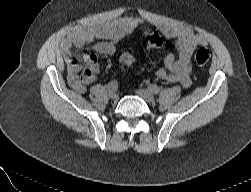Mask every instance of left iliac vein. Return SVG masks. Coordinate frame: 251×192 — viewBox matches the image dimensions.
<instances>
[{"label": "left iliac vein", "mask_w": 251, "mask_h": 192, "mask_svg": "<svg viewBox=\"0 0 251 192\" xmlns=\"http://www.w3.org/2000/svg\"><path fill=\"white\" fill-rule=\"evenodd\" d=\"M136 94L140 96L142 99H144L147 103H153L154 102V96L152 92L146 89H138L136 90Z\"/></svg>", "instance_id": "obj_1"}]
</instances>
